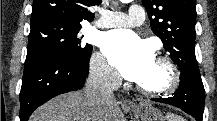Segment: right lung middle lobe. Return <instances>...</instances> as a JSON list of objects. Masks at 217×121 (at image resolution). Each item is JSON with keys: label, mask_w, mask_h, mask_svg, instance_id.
<instances>
[{"label": "right lung middle lobe", "mask_w": 217, "mask_h": 121, "mask_svg": "<svg viewBox=\"0 0 217 121\" xmlns=\"http://www.w3.org/2000/svg\"><path fill=\"white\" fill-rule=\"evenodd\" d=\"M80 24L57 20L31 23L26 60L36 57L71 58L86 61L92 52L90 44H83L78 32Z\"/></svg>", "instance_id": "obj_1"}]
</instances>
